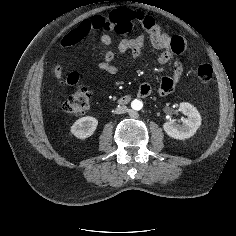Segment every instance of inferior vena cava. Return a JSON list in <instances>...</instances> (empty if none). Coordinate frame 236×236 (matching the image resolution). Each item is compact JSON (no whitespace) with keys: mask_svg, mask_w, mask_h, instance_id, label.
I'll list each match as a JSON object with an SVG mask.
<instances>
[{"mask_svg":"<svg viewBox=\"0 0 236 236\" xmlns=\"http://www.w3.org/2000/svg\"><path fill=\"white\" fill-rule=\"evenodd\" d=\"M128 111V108L126 106H118L116 109H115V114H124Z\"/></svg>","mask_w":236,"mask_h":236,"instance_id":"602c4592","label":"inferior vena cava"}]
</instances>
